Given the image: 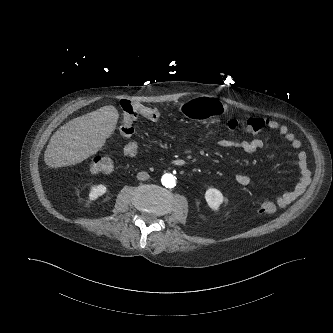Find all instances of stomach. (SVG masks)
<instances>
[{"mask_svg": "<svg viewBox=\"0 0 333 333\" xmlns=\"http://www.w3.org/2000/svg\"><path fill=\"white\" fill-rule=\"evenodd\" d=\"M226 106L209 96H199L189 99L180 106L181 113L196 121H206L213 115L221 113Z\"/></svg>", "mask_w": 333, "mask_h": 333, "instance_id": "0dacf381", "label": "stomach"}]
</instances>
